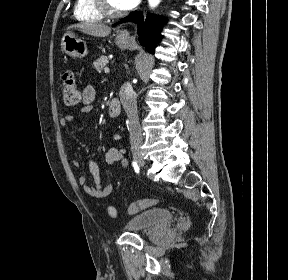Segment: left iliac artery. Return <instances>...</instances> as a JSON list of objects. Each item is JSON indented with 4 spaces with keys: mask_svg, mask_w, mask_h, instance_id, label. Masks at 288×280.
Returning a JSON list of instances; mask_svg holds the SVG:
<instances>
[{
    "mask_svg": "<svg viewBox=\"0 0 288 280\" xmlns=\"http://www.w3.org/2000/svg\"><path fill=\"white\" fill-rule=\"evenodd\" d=\"M132 166L134 167L135 172H139V166L136 161H133Z\"/></svg>",
    "mask_w": 288,
    "mask_h": 280,
    "instance_id": "obj_1",
    "label": "left iliac artery"
}]
</instances>
